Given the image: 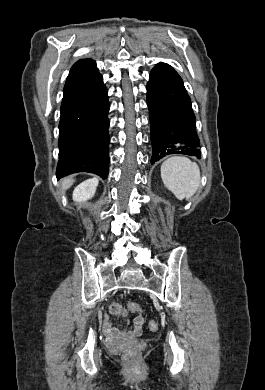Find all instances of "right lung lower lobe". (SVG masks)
Returning <instances> with one entry per match:
<instances>
[{
  "label": "right lung lower lobe",
  "instance_id": "1",
  "mask_svg": "<svg viewBox=\"0 0 265 390\" xmlns=\"http://www.w3.org/2000/svg\"><path fill=\"white\" fill-rule=\"evenodd\" d=\"M108 92L93 61L66 79L59 122L58 179L76 172H109Z\"/></svg>",
  "mask_w": 265,
  "mask_h": 390
}]
</instances>
